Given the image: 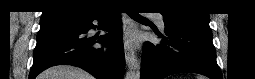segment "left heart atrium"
<instances>
[{"instance_id": "39dd6f15", "label": "left heart atrium", "mask_w": 255, "mask_h": 79, "mask_svg": "<svg viewBox=\"0 0 255 79\" xmlns=\"http://www.w3.org/2000/svg\"><path fill=\"white\" fill-rule=\"evenodd\" d=\"M134 42H135V36L130 35V36L127 38V44H133Z\"/></svg>"}]
</instances>
